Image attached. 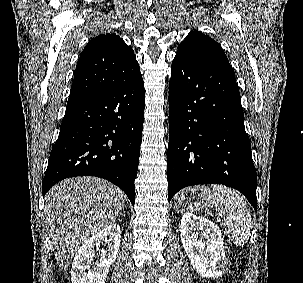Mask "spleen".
Wrapping results in <instances>:
<instances>
[{"label": "spleen", "mask_w": 303, "mask_h": 283, "mask_svg": "<svg viewBox=\"0 0 303 283\" xmlns=\"http://www.w3.org/2000/svg\"><path fill=\"white\" fill-rule=\"evenodd\" d=\"M213 204L217 214L224 217V228L229 239L238 246L245 244L251 233V214L244 199L233 189L212 185Z\"/></svg>", "instance_id": "1"}]
</instances>
